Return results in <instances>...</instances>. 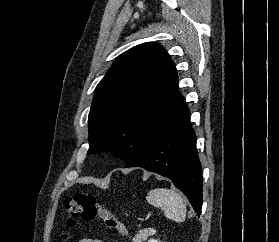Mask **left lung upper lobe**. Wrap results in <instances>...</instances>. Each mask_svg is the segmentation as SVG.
Listing matches in <instances>:
<instances>
[{
  "label": "left lung upper lobe",
  "mask_w": 279,
  "mask_h": 242,
  "mask_svg": "<svg viewBox=\"0 0 279 242\" xmlns=\"http://www.w3.org/2000/svg\"><path fill=\"white\" fill-rule=\"evenodd\" d=\"M186 107L170 55L154 42L120 55L95 89L88 154L109 151L126 164L174 124Z\"/></svg>",
  "instance_id": "1"
}]
</instances>
